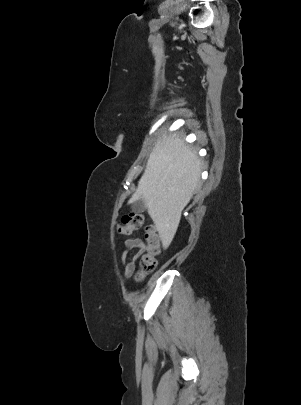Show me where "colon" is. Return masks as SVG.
<instances>
[{"label": "colon", "instance_id": "1", "mask_svg": "<svg viewBox=\"0 0 301 405\" xmlns=\"http://www.w3.org/2000/svg\"><path fill=\"white\" fill-rule=\"evenodd\" d=\"M145 222V216L140 212H129L124 215L117 225L118 232L122 235H129L139 230ZM162 254V245L157 230L153 226H147L145 230V245L140 260V270L137 278L142 279L147 273L153 271Z\"/></svg>", "mask_w": 301, "mask_h": 405}]
</instances>
